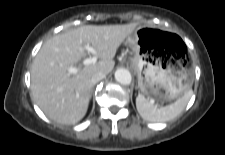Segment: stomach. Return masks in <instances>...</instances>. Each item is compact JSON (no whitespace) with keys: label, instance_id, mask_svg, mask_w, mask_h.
Instances as JSON below:
<instances>
[{"label":"stomach","instance_id":"stomach-1","mask_svg":"<svg viewBox=\"0 0 225 155\" xmlns=\"http://www.w3.org/2000/svg\"><path fill=\"white\" fill-rule=\"evenodd\" d=\"M171 41L169 32L145 26L137 27L127 38L134 53L132 66L138 75L139 89L149 99L181 98L192 85V75L182 58L176 59L166 52L172 47Z\"/></svg>","mask_w":225,"mask_h":155}]
</instances>
